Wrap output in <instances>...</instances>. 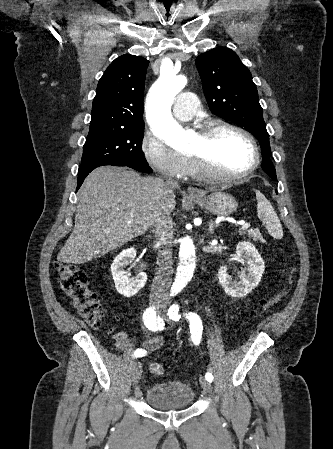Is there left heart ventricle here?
I'll use <instances>...</instances> for the list:
<instances>
[{
  "mask_svg": "<svg viewBox=\"0 0 333 449\" xmlns=\"http://www.w3.org/2000/svg\"><path fill=\"white\" fill-rule=\"evenodd\" d=\"M188 153L203 156L209 168L221 175L241 172L254 160L250 143L230 130L217 131L207 138L197 135Z\"/></svg>",
  "mask_w": 333,
  "mask_h": 449,
  "instance_id": "1",
  "label": "left heart ventricle"
}]
</instances>
